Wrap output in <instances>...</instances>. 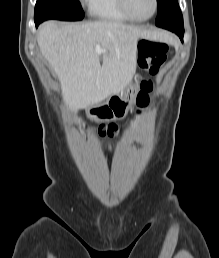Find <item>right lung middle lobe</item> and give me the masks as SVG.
Returning a JSON list of instances; mask_svg holds the SVG:
<instances>
[{
	"mask_svg": "<svg viewBox=\"0 0 219 258\" xmlns=\"http://www.w3.org/2000/svg\"><path fill=\"white\" fill-rule=\"evenodd\" d=\"M84 12L79 0H37L34 21L41 23L48 19H83Z\"/></svg>",
	"mask_w": 219,
	"mask_h": 258,
	"instance_id": "1",
	"label": "right lung middle lobe"
}]
</instances>
